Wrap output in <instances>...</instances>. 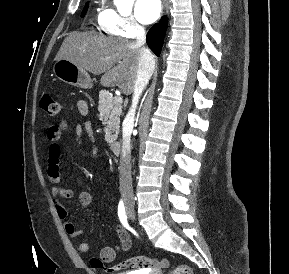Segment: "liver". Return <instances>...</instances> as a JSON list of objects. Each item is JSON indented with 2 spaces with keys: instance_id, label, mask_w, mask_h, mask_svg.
Segmentation results:
<instances>
[{
  "instance_id": "obj_1",
  "label": "liver",
  "mask_w": 289,
  "mask_h": 274,
  "mask_svg": "<svg viewBox=\"0 0 289 274\" xmlns=\"http://www.w3.org/2000/svg\"><path fill=\"white\" fill-rule=\"evenodd\" d=\"M140 47L122 38L72 32L63 41L55 60L67 59L94 75L104 74L103 86H118L131 93L136 80Z\"/></svg>"
}]
</instances>
